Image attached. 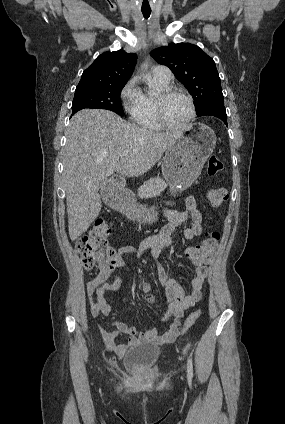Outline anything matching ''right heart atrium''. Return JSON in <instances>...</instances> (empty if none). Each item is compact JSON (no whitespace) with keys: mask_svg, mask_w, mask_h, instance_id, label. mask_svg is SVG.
I'll return each instance as SVG.
<instances>
[{"mask_svg":"<svg viewBox=\"0 0 285 424\" xmlns=\"http://www.w3.org/2000/svg\"><path fill=\"white\" fill-rule=\"evenodd\" d=\"M142 92L135 77L130 78L120 91V100L124 111L136 120L142 106Z\"/></svg>","mask_w":285,"mask_h":424,"instance_id":"obj_1","label":"right heart atrium"}]
</instances>
